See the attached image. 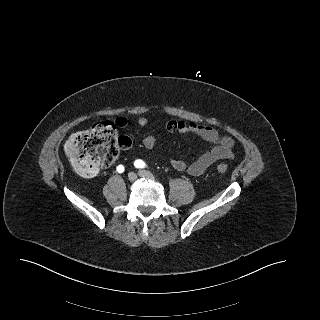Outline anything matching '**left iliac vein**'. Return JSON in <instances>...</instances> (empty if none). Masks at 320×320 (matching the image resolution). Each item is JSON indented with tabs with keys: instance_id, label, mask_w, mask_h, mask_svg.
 Returning <instances> with one entry per match:
<instances>
[{
	"instance_id": "obj_1",
	"label": "left iliac vein",
	"mask_w": 320,
	"mask_h": 320,
	"mask_svg": "<svg viewBox=\"0 0 320 320\" xmlns=\"http://www.w3.org/2000/svg\"><path fill=\"white\" fill-rule=\"evenodd\" d=\"M138 175H139L140 177H144V178H146V179H151V180H154V179H155L154 175H153L152 173H150L149 171H146V170H140V171L138 172Z\"/></svg>"
}]
</instances>
